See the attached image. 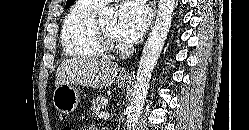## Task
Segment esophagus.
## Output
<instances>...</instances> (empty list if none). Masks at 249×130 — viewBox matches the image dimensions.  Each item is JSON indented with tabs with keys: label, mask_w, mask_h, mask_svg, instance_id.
<instances>
[{
	"label": "esophagus",
	"mask_w": 249,
	"mask_h": 130,
	"mask_svg": "<svg viewBox=\"0 0 249 130\" xmlns=\"http://www.w3.org/2000/svg\"><path fill=\"white\" fill-rule=\"evenodd\" d=\"M156 2H157V0H152V2H151L152 7H153L155 13H156ZM131 70H132V68H131V69H128V70H124V71L122 72V75H123L124 77H129V76L131 75Z\"/></svg>",
	"instance_id": "34e87169"
}]
</instances>
